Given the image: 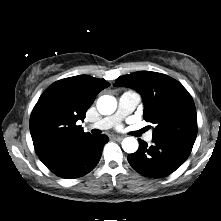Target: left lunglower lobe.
Returning a JSON list of instances; mask_svg holds the SVG:
<instances>
[{
	"mask_svg": "<svg viewBox=\"0 0 221 221\" xmlns=\"http://www.w3.org/2000/svg\"><path fill=\"white\" fill-rule=\"evenodd\" d=\"M153 144L139 139L137 152L128 155L130 165L143 176L161 178L174 172L188 158L193 145L174 139L153 138Z\"/></svg>",
	"mask_w": 221,
	"mask_h": 221,
	"instance_id": "left-lung-lower-lobe-1",
	"label": "left lung lower lobe"
}]
</instances>
